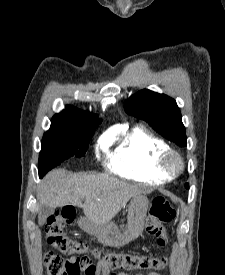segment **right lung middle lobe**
<instances>
[{
	"label": "right lung middle lobe",
	"instance_id": "obj_1",
	"mask_svg": "<svg viewBox=\"0 0 225 275\" xmlns=\"http://www.w3.org/2000/svg\"><path fill=\"white\" fill-rule=\"evenodd\" d=\"M96 128L97 126L52 123L42 140L39 176L43 177L50 169L72 156H84Z\"/></svg>",
	"mask_w": 225,
	"mask_h": 275
}]
</instances>
